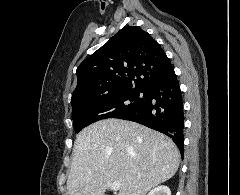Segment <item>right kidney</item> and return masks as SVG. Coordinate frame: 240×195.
<instances>
[{
  "label": "right kidney",
  "mask_w": 240,
  "mask_h": 195,
  "mask_svg": "<svg viewBox=\"0 0 240 195\" xmlns=\"http://www.w3.org/2000/svg\"><path fill=\"white\" fill-rule=\"evenodd\" d=\"M147 195H171V191L167 185H158V187L151 189Z\"/></svg>",
  "instance_id": "obj_1"
}]
</instances>
